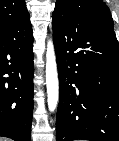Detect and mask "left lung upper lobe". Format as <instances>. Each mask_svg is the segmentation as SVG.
<instances>
[{
    "instance_id": "obj_1",
    "label": "left lung upper lobe",
    "mask_w": 119,
    "mask_h": 141,
    "mask_svg": "<svg viewBox=\"0 0 119 141\" xmlns=\"http://www.w3.org/2000/svg\"><path fill=\"white\" fill-rule=\"evenodd\" d=\"M53 14L114 29L110 10L103 0H57Z\"/></svg>"
}]
</instances>
